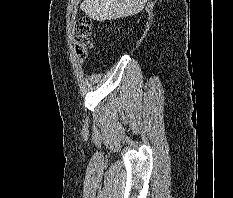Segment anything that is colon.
<instances>
[{"label": "colon", "instance_id": "obj_1", "mask_svg": "<svg viewBox=\"0 0 233 198\" xmlns=\"http://www.w3.org/2000/svg\"><path fill=\"white\" fill-rule=\"evenodd\" d=\"M93 36L94 29L91 20L87 17L81 18L77 26L75 49L82 60L87 57L88 50L92 45Z\"/></svg>", "mask_w": 233, "mask_h": 198}]
</instances>
